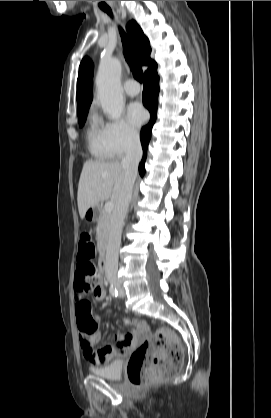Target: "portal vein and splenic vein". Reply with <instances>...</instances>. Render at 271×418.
<instances>
[{"instance_id": "18ae733b", "label": "portal vein and splenic vein", "mask_w": 271, "mask_h": 418, "mask_svg": "<svg viewBox=\"0 0 271 418\" xmlns=\"http://www.w3.org/2000/svg\"><path fill=\"white\" fill-rule=\"evenodd\" d=\"M113 208H114V202L112 201L107 202L104 206V210L108 213H110L113 210Z\"/></svg>"}]
</instances>
